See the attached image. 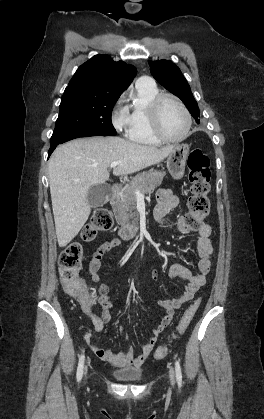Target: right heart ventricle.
Listing matches in <instances>:
<instances>
[{
	"mask_svg": "<svg viewBox=\"0 0 264 419\" xmlns=\"http://www.w3.org/2000/svg\"><path fill=\"white\" fill-rule=\"evenodd\" d=\"M160 93L157 85L153 83H136L135 92L127 106L129 126L127 136L129 140L144 145H159L151 129L149 105L152 99Z\"/></svg>",
	"mask_w": 264,
	"mask_h": 419,
	"instance_id": "right-heart-ventricle-1",
	"label": "right heart ventricle"
}]
</instances>
